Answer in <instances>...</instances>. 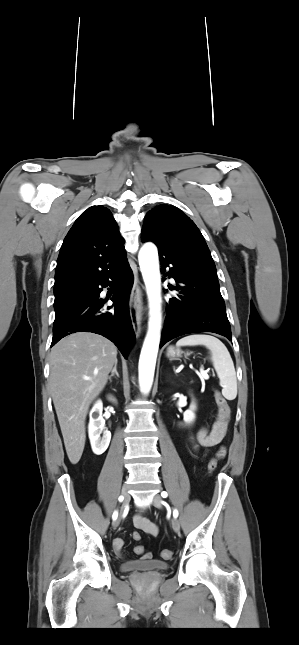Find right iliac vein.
Wrapping results in <instances>:
<instances>
[{"mask_svg":"<svg viewBox=\"0 0 299 645\" xmlns=\"http://www.w3.org/2000/svg\"><path fill=\"white\" fill-rule=\"evenodd\" d=\"M121 495L123 496V507H122V510H123V508L126 507L130 501V495L128 493V488L126 487V485L123 486ZM119 523H120V518H116L112 523L113 528L114 529L117 528L119 526Z\"/></svg>","mask_w":299,"mask_h":645,"instance_id":"right-iliac-vein-1","label":"right iliac vein"}]
</instances>
